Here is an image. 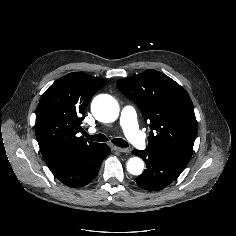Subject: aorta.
<instances>
[{
  "instance_id": "762f6f07",
  "label": "aorta",
  "mask_w": 236,
  "mask_h": 236,
  "mask_svg": "<svg viewBox=\"0 0 236 236\" xmlns=\"http://www.w3.org/2000/svg\"><path fill=\"white\" fill-rule=\"evenodd\" d=\"M91 109L94 117L102 122H113L119 115L117 101L107 94L95 97ZM126 167L130 174L140 175L144 169V163L140 158L133 157L128 160Z\"/></svg>"
}]
</instances>
